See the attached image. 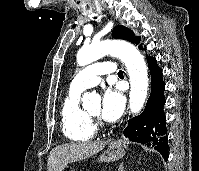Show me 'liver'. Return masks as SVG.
<instances>
[{
    "mask_svg": "<svg viewBox=\"0 0 199 171\" xmlns=\"http://www.w3.org/2000/svg\"><path fill=\"white\" fill-rule=\"evenodd\" d=\"M106 145V142L62 144L53 148L48 156L47 171H63L67 164L88 158Z\"/></svg>",
    "mask_w": 199,
    "mask_h": 171,
    "instance_id": "1",
    "label": "liver"
}]
</instances>
